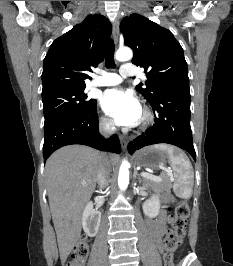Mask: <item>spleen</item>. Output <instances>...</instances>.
<instances>
[{
  "label": "spleen",
  "instance_id": "spleen-1",
  "mask_svg": "<svg viewBox=\"0 0 233 266\" xmlns=\"http://www.w3.org/2000/svg\"><path fill=\"white\" fill-rule=\"evenodd\" d=\"M155 149L164 151L173 170V190L182 198H190L194 184V172L190 160L180 149L168 144H156Z\"/></svg>",
  "mask_w": 233,
  "mask_h": 266
}]
</instances>
